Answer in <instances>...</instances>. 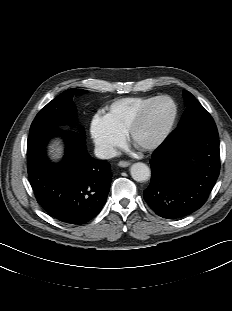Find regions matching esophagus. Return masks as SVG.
<instances>
[{"label":"esophagus","mask_w":232,"mask_h":311,"mask_svg":"<svg viewBox=\"0 0 232 311\" xmlns=\"http://www.w3.org/2000/svg\"><path fill=\"white\" fill-rule=\"evenodd\" d=\"M129 165H130V162H127V161H120L118 163L119 167H128Z\"/></svg>","instance_id":"obj_1"}]
</instances>
